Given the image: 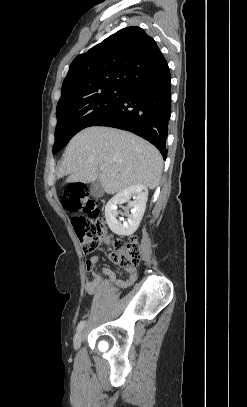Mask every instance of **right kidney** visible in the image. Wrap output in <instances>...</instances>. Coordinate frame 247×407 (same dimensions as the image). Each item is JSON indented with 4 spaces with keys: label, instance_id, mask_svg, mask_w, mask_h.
<instances>
[{
    "label": "right kidney",
    "instance_id": "1",
    "mask_svg": "<svg viewBox=\"0 0 247 407\" xmlns=\"http://www.w3.org/2000/svg\"><path fill=\"white\" fill-rule=\"evenodd\" d=\"M133 198V201H131ZM148 199V188L144 185H131L112 197L105 206L106 222L117 235L129 236L133 234L143 218L146 202ZM128 203L130 213L126 212L127 219L122 223L117 219L118 205Z\"/></svg>",
    "mask_w": 247,
    "mask_h": 407
}]
</instances>
